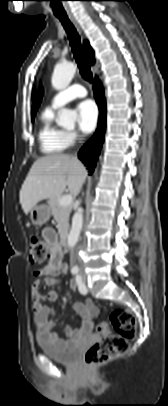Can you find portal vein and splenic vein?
<instances>
[{
	"mask_svg": "<svg viewBox=\"0 0 168 406\" xmlns=\"http://www.w3.org/2000/svg\"><path fill=\"white\" fill-rule=\"evenodd\" d=\"M73 202V196L72 195H65L59 200V205L60 206H67L70 205Z\"/></svg>",
	"mask_w": 168,
	"mask_h": 406,
	"instance_id": "18ae733b",
	"label": "portal vein and splenic vein"
}]
</instances>
